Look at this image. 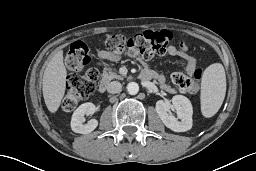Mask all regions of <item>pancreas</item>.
Returning a JSON list of instances; mask_svg holds the SVG:
<instances>
[{
    "label": "pancreas",
    "mask_w": 256,
    "mask_h": 171,
    "mask_svg": "<svg viewBox=\"0 0 256 171\" xmlns=\"http://www.w3.org/2000/svg\"><path fill=\"white\" fill-rule=\"evenodd\" d=\"M102 82H108L111 81L112 79H119V80H123L124 77L121 75H118L117 73L113 72L111 68H105L103 70V74H102Z\"/></svg>",
    "instance_id": "obj_1"
}]
</instances>
